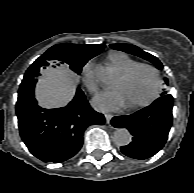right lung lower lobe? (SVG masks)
I'll return each instance as SVG.
<instances>
[{
	"label": "right lung lower lobe",
	"mask_w": 194,
	"mask_h": 193,
	"mask_svg": "<svg viewBox=\"0 0 194 193\" xmlns=\"http://www.w3.org/2000/svg\"><path fill=\"white\" fill-rule=\"evenodd\" d=\"M19 131L29 151L44 162H63L82 147L85 129L103 125L104 116L89 107L81 90L65 107L44 109L32 97L17 101Z\"/></svg>",
	"instance_id": "obj_1"
}]
</instances>
